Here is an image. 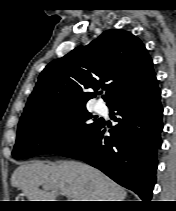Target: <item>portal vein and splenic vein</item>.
I'll return each mask as SVG.
<instances>
[{
    "label": "portal vein and splenic vein",
    "instance_id": "1",
    "mask_svg": "<svg viewBox=\"0 0 176 211\" xmlns=\"http://www.w3.org/2000/svg\"><path fill=\"white\" fill-rule=\"evenodd\" d=\"M67 201H77V200H75V199H70V198H69Z\"/></svg>",
    "mask_w": 176,
    "mask_h": 211
}]
</instances>
